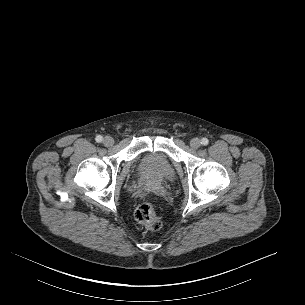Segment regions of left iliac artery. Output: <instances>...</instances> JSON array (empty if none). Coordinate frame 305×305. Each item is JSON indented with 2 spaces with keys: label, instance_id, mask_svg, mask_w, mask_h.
Instances as JSON below:
<instances>
[{
  "label": "left iliac artery",
  "instance_id": "1",
  "mask_svg": "<svg viewBox=\"0 0 305 305\" xmlns=\"http://www.w3.org/2000/svg\"><path fill=\"white\" fill-rule=\"evenodd\" d=\"M208 143H209V140L207 138H203L201 140V144H203V145H207Z\"/></svg>",
  "mask_w": 305,
  "mask_h": 305
}]
</instances>
